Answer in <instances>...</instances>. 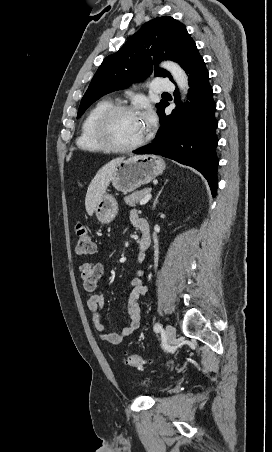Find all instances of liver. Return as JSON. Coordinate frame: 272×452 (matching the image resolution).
Segmentation results:
<instances>
[{
  "instance_id": "liver-1",
  "label": "liver",
  "mask_w": 272,
  "mask_h": 452,
  "mask_svg": "<svg viewBox=\"0 0 272 452\" xmlns=\"http://www.w3.org/2000/svg\"><path fill=\"white\" fill-rule=\"evenodd\" d=\"M124 159V157L111 160L104 165L92 179L88 186L85 198V208L88 215L92 216L95 206L101 196L105 193L115 167Z\"/></svg>"
}]
</instances>
